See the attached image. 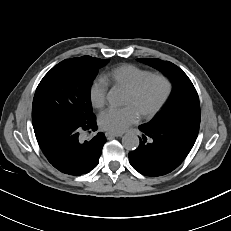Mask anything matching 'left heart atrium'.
<instances>
[{"label":"left heart atrium","mask_w":231,"mask_h":231,"mask_svg":"<svg viewBox=\"0 0 231 231\" xmlns=\"http://www.w3.org/2000/svg\"><path fill=\"white\" fill-rule=\"evenodd\" d=\"M139 114L133 106L109 108L99 117L100 127L112 133H122L139 120Z\"/></svg>","instance_id":"39dd6f15"}]
</instances>
